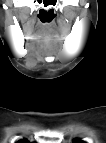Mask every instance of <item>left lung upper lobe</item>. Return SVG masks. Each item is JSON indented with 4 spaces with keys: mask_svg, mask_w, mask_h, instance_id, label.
I'll return each instance as SVG.
<instances>
[{
    "mask_svg": "<svg viewBox=\"0 0 106 143\" xmlns=\"http://www.w3.org/2000/svg\"><path fill=\"white\" fill-rule=\"evenodd\" d=\"M73 142H74V143H83V141H81V140H79V139H75Z\"/></svg>",
    "mask_w": 106,
    "mask_h": 143,
    "instance_id": "obj_1",
    "label": "left lung upper lobe"
}]
</instances>
